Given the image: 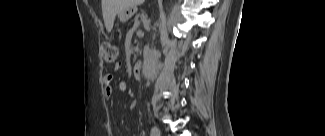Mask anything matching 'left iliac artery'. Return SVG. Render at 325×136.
I'll return each instance as SVG.
<instances>
[{
	"label": "left iliac artery",
	"instance_id": "44dca946",
	"mask_svg": "<svg viewBox=\"0 0 325 136\" xmlns=\"http://www.w3.org/2000/svg\"><path fill=\"white\" fill-rule=\"evenodd\" d=\"M151 136H160V131L157 127L151 129Z\"/></svg>",
	"mask_w": 325,
	"mask_h": 136
}]
</instances>
